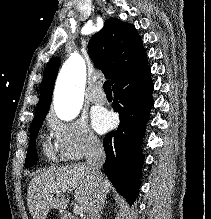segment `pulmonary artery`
<instances>
[{"label":"pulmonary artery","instance_id":"obj_1","mask_svg":"<svg viewBox=\"0 0 211 219\" xmlns=\"http://www.w3.org/2000/svg\"><path fill=\"white\" fill-rule=\"evenodd\" d=\"M89 99L93 104L102 105L106 102V94L100 90V85L96 84L89 94Z\"/></svg>","mask_w":211,"mask_h":219}]
</instances>
